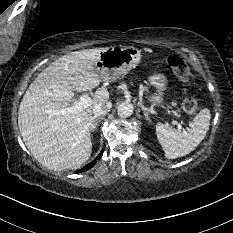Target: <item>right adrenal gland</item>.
<instances>
[{"mask_svg": "<svg viewBox=\"0 0 233 233\" xmlns=\"http://www.w3.org/2000/svg\"><path fill=\"white\" fill-rule=\"evenodd\" d=\"M102 119H104V116L93 117V121L91 123L90 130L94 131L97 128L98 123H100Z\"/></svg>", "mask_w": 233, "mask_h": 233, "instance_id": "2a0ac1e0", "label": "right adrenal gland"}]
</instances>
